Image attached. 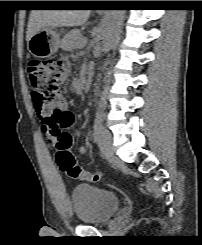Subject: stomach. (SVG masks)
<instances>
[{"instance_id": "obj_1", "label": "stomach", "mask_w": 202, "mask_h": 245, "mask_svg": "<svg viewBox=\"0 0 202 245\" xmlns=\"http://www.w3.org/2000/svg\"><path fill=\"white\" fill-rule=\"evenodd\" d=\"M60 46L59 34L54 26H46L37 31L28 41L29 52L37 58H48Z\"/></svg>"}]
</instances>
